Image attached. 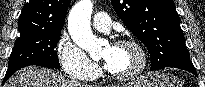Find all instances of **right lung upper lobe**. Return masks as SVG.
<instances>
[{
    "label": "right lung upper lobe",
    "instance_id": "right-lung-upper-lobe-1",
    "mask_svg": "<svg viewBox=\"0 0 205 87\" xmlns=\"http://www.w3.org/2000/svg\"><path fill=\"white\" fill-rule=\"evenodd\" d=\"M71 0H30L18 22L19 32L62 30Z\"/></svg>",
    "mask_w": 205,
    "mask_h": 87
}]
</instances>
